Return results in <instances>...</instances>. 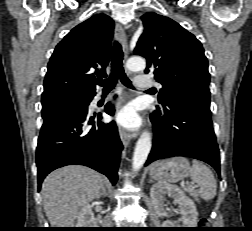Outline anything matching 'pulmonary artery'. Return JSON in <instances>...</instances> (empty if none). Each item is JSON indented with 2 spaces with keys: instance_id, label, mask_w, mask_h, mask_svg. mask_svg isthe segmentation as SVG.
<instances>
[{
  "instance_id": "1",
  "label": "pulmonary artery",
  "mask_w": 252,
  "mask_h": 231,
  "mask_svg": "<svg viewBox=\"0 0 252 231\" xmlns=\"http://www.w3.org/2000/svg\"><path fill=\"white\" fill-rule=\"evenodd\" d=\"M135 83L138 88H142V89L161 87L160 83L154 82L153 79L149 78L146 75H138L135 79ZM110 99H111V96H107L105 98H102L101 96H97L95 101H100V100L109 101Z\"/></svg>"
}]
</instances>
